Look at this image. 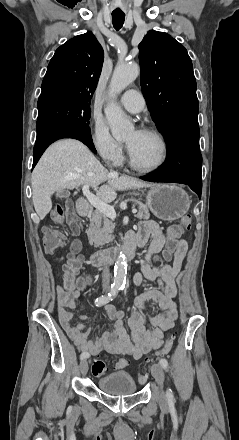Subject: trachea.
Masks as SVG:
<instances>
[{
	"label": "trachea",
	"instance_id": "1",
	"mask_svg": "<svg viewBox=\"0 0 239 440\" xmlns=\"http://www.w3.org/2000/svg\"><path fill=\"white\" fill-rule=\"evenodd\" d=\"M125 20V13L123 12H113L112 13V23L116 30H120Z\"/></svg>",
	"mask_w": 239,
	"mask_h": 440
}]
</instances>
